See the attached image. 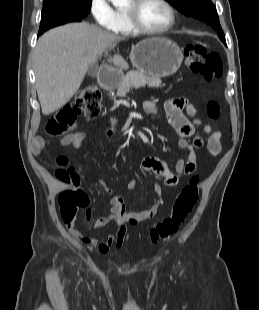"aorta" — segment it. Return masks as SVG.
I'll use <instances>...</instances> for the list:
<instances>
[{
  "instance_id": "762f6f07",
  "label": "aorta",
  "mask_w": 259,
  "mask_h": 310,
  "mask_svg": "<svg viewBox=\"0 0 259 310\" xmlns=\"http://www.w3.org/2000/svg\"><path fill=\"white\" fill-rule=\"evenodd\" d=\"M115 7H122L127 4L128 0H109Z\"/></svg>"
}]
</instances>
